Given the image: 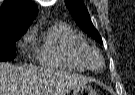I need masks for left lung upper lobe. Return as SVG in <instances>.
Masks as SVG:
<instances>
[{"label": "left lung upper lobe", "instance_id": "5c2ea615", "mask_svg": "<svg viewBox=\"0 0 135 95\" xmlns=\"http://www.w3.org/2000/svg\"><path fill=\"white\" fill-rule=\"evenodd\" d=\"M66 6L70 10L75 22L81 29L99 43H103L100 34L93 26L90 15L81 0H66Z\"/></svg>", "mask_w": 135, "mask_h": 95}]
</instances>
